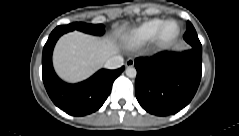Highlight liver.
I'll use <instances>...</instances> for the list:
<instances>
[{"instance_id": "liver-1", "label": "liver", "mask_w": 239, "mask_h": 136, "mask_svg": "<svg viewBox=\"0 0 239 136\" xmlns=\"http://www.w3.org/2000/svg\"><path fill=\"white\" fill-rule=\"evenodd\" d=\"M118 52L116 40L97 37L80 31L63 35L53 52L56 73L67 82L90 77L107 59Z\"/></svg>"}]
</instances>
